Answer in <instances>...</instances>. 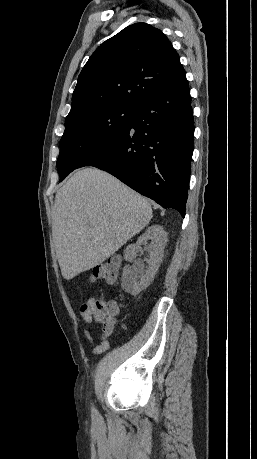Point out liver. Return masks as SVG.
I'll return each instance as SVG.
<instances>
[{
	"label": "liver",
	"instance_id": "6515ba94",
	"mask_svg": "<svg viewBox=\"0 0 257 459\" xmlns=\"http://www.w3.org/2000/svg\"><path fill=\"white\" fill-rule=\"evenodd\" d=\"M152 218L141 195L97 168L77 171L57 192L52 235L62 276L70 280L113 255Z\"/></svg>",
	"mask_w": 257,
	"mask_h": 459
}]
</instances>
